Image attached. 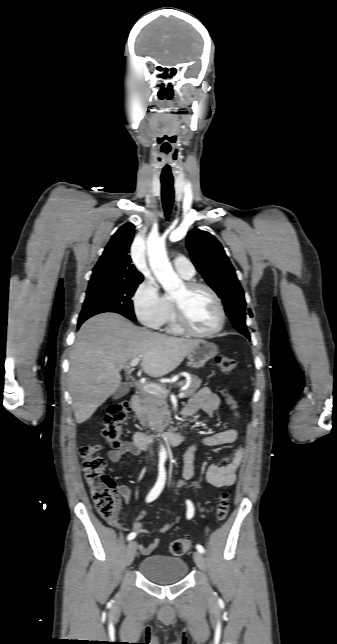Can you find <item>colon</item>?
<instances>
[{"mask_svg":"<svg viewBox=\"0 0 337 644\" xmlns=\"http://www.w3.org/2000/svg\"><path fill=\"white\" fill-rule=\"evenodd\" d=\"M216 364L222 373H229L236 366L235 360L226 355L216 357ZM129 412L130 406L128 402H120L111 405L104 417L102 434L107 443L113 448H118L121 445L123 425ZM98 451L99 447L97 445H83L79 449V455L82 459L86 482L95 508L103 519L111 521L115 518L117 509L115 483L106 473V461L99 455ZM228 512V494L223 492L215 511L217 520H225ZM189 549L190 542L187 539L174 540L169 547L173 556H182Z\"/></svg>","mask_w":337,"mask_h":644,"instance_id":"1","label":"colon"}]
</instances>
